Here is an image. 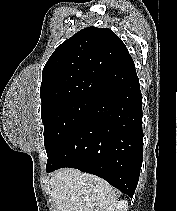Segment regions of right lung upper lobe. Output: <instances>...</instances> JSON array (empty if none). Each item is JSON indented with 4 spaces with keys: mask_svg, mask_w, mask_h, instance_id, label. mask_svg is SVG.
Segmentation results:
<instances>
[{
    "mask_svg": "<svg viewBox=\"0 0 178 211\" xmlns=\"http://www.w3.org/2000/svg\"><path fill=\"white\" fill-rule=\"evenodd\" d=\"M136 76L133 59L111 29L85 28L63 42L44 66L41 110L75 98L98 100Z\"/></svg>",
    "mask_w": 178,
    "mask_h": 211,
    "instance_id": "obj_1",
    "label": "right lung upper lobe"
}]
</instances>
